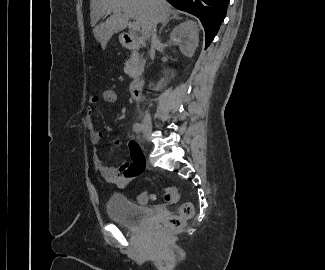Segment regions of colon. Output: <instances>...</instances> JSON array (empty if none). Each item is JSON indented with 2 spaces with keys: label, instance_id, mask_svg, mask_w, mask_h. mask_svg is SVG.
Listing matches in <instances>:
<instances>
[{
  "label": "colon",
  "instance_id": "1",
  "mask_svg": "<svg viewBox=\"0 0 325 270\" xmlns=\"http://www.w3.org/2000/svg\"><path fill=\"white\" fill-rule=\"evenodd\" d=\"M101 100L106 104H112L117 100V94L112 88H105L101 93ZM164 199L167 203H176L179 199V193L176 188L169 187L165 188L163 191ZM140 203L146 204L155 199V194L151 192H142L138 197ZM194 208L191 202L183 203L178 213L171 215L159 222L155 226V231L157 233H165L169 231H174L182 228L185 223L193 216Z\"/></svg>",
  "mask_w": 325,
  "mask_h": 270
}]
</instances>
